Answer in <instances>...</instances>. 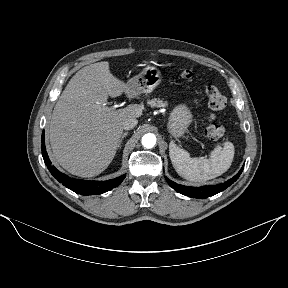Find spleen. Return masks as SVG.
Returning <instances> with one entry per match:
<instances>
[{
    "label": "spleen",
    "instance_id": "3e777b00",
    "mask_svg": "<svg viewBox=\"0 0 288 288\" xmlns=\"http://www.w3.org/2000/svg\"><path fill=\"white\" fill-rule=\"evenodd\" d=\"M169 156L176 172L193 182H205L225 173L231 166L234 157V146L225 142L210 153V159L191 158L189 153L170 142Z\"/></svg>",
    "mask_w": 288,
    "mask_h": 288
}]
</instances>
